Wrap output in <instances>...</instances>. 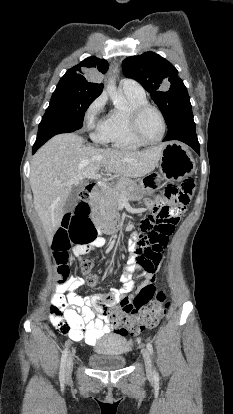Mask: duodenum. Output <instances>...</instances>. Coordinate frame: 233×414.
<instances>
[{"instance_id":"410a0bca","label":"duodenum","mask_w":233,"mask_h":414,"mask_svg":"<svg viewBox=\"0 0 233 414\" xmlns=\"http://www.w3.org/2000/svg\"><path fill=\"white\" fill-rule=\"evenodd\" d=\"M105 186L104 183H91L84 187L86 195L82 198L83 204H88L91 209L92 220L96 222V226L101 233H111L121 230L123 228V221L120 216L112 219H103L104 213L100 211L98 206H95L97 200L101 199V190L98 187Z\"/></svg>"}]
</instances>
